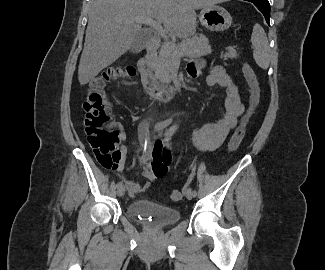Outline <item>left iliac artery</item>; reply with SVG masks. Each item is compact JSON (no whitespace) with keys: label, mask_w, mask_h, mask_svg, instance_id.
Returning a JSON list of instances; mask_svg holds the SVG:
<instances>
[{"label":"left iliac artery","mask_w":325,"mask_h":270,"mask_svg":"<svg viewBox=\"0 0 325 270\" xmlns=\"http://www.w3.org/2000/svg\"><path fill=\"white\" fill-rule=\"evenodd\" d=\"M177 127L176 126H172L165 134V142L168 146H170V140L173 136V134L175 133ZM193 194L194 196L197 195V191L196 190H193Z\"/></svg>","instance_id":"1"}]
</instances>
